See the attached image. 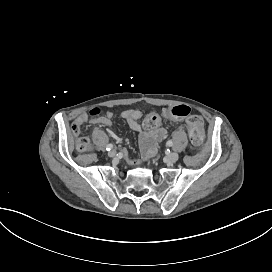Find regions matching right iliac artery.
<instances>
[{
  "label": "right iliac artery",
  "mask_w": 272,
  "mask_h": 272,
  "mask_svg": "<svg viewBox=\"0 0 272 272\" xmlns=\"http://www.w3.org/2000/svg\"><path fill=\"white\" fill-rule=\"evenodd\" d=\"M112 148H113V145L112 144H108L107 147H106V150L110 151Z\"/></svg>",
  "instance_id": "1"
}]
</instances>
